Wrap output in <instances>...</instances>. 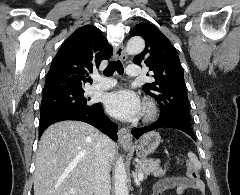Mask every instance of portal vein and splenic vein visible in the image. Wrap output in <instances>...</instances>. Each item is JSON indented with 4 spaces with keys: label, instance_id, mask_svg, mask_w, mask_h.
I'll use <instances>...</instances> for the list:
<instances>
[{
    "label": "portal vein and splenic vein",
    "instance_id": "1",
    "mask_svg": "<svg viewBox=\"0 0 240 195\" xmlns=\"http://www.w3.org/2000/svg\"><path fill=\"white\" fill-rule=\"evenodd\" d=\"M144 173L142 171H138L137 173V179L139 182L143 181ZM69 193H75V189H70Z\"/></svg>",
    "mask_w": 240,
    "mask_h": 195
}]
</instances>
